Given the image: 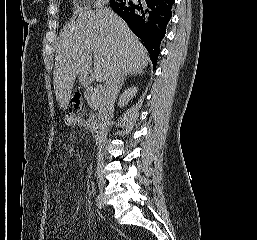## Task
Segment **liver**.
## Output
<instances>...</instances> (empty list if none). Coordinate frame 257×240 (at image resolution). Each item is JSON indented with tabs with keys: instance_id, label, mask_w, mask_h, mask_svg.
<instances>
[{
	"instance_id": "6515ba94",
	"label": "liver",
	"mask_w": 257,
	"mask_h": 240,
	"mask_svg": "<svg viewBox=\"0 0 257 240\" xmlns=\"http://www.w3.org/2000/svg\"><path fill=\"white\" fill-rule=\"evenodd\" d=\"M76 20L68 24L56 47L53 85L61 108L68 106L74 81L91 77L99 82L108 79L119 64L124 74L139 73L147 67L149 55L127 24L111 9L92 11L78 7ZM93 53V57H92Z\"/></svg>"
}]
</instances>
